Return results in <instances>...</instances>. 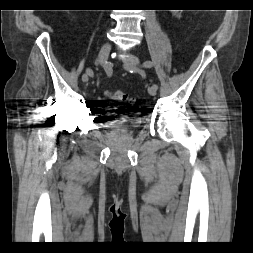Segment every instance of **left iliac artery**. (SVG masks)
Segmentation results:
<instances>
[{
  "label": "left iliac artery",
  "mask_w": 253,
  "mask_h": 253,
  "mask_svg": "<svg viewBox=\"0 0 253 253\" xmlns=\"http://www.w3.org/2000/svg\"><path fill=\"white\" fill-rule=\"evenodd\" d=\"M143 67H145V68H151V67H153V63L150 60H147V61H145L143 63ZM153 86L156 87V88H158L157 84H154Z\"/></svg>",
  "instance_id": "obj_1"
}]
</instances>
